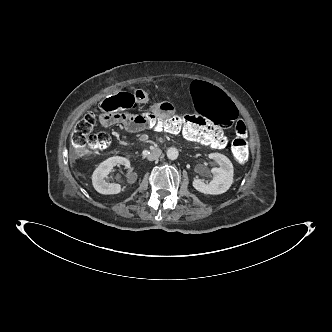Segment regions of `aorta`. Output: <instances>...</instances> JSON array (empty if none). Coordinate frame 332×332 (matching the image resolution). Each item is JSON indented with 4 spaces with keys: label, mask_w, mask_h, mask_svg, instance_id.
Instances as JSON below:
<instances>
[{
    "label": "aorta",
    "mask_w": 332,
    "mask_h": 332,
    "mask_svg": "<svg viewBox=\"0 0 332 332\" xmlns=\"http://www.w3.org/2000/svg\"><path fill=\"white\" fill-rule=\"evenodd\" d=\"M178 150L175 147H171L167 150V157L170 160H176L178 158Z\"/></svg>",
    "instance_id": "762f6f07"
}]
</instances>
